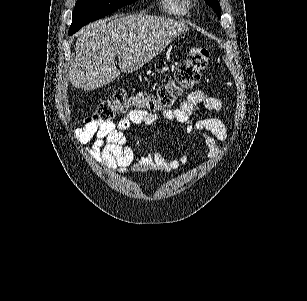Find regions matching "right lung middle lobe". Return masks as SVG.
<instances>
[{"mask_svg": "<svg viewBox=\"0 0 307 301\" xmlns=\"http://www.w3.org/2000/svg\"><path fill=\"white\" fill-rule=\"evenodd\" d=\"M137 0H77L72 14L69 35L77 32L87 23L100 19L117 9Z\"/></svg>", "mask_w": 307, "mask_h": 301, "instance_id": "obj_1", "label": "right lung middle lobe"}]
</instances>
